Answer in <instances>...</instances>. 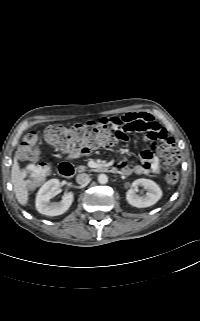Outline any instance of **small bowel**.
Here are the masks:
<instances>
[{
	"instance_id": "small-bowel-1",
	"label": "small bowel",
	"mask_w": 200,
	"mask_h": 321,
	"mask_svg": "<svg viewBox=\"0 0 200 321\" xmlns=\"http://www.w3.org/2000/svg\"><path fill=\"white\" fill-rule=\"evenodd\" d=\"M108 119H103L105 121ZM111 120L117 121L123 132V138L127 140L128 134L144 132L145 139L150 149L140 154V162L135 165H129L126 162L119 163L116 168L118 173L122 175H155L160 171V158L154 153L157 150L161 154L168 148L173 146V139L168 132L154 119V117L146 112H131L122 117H115ZM160 143L158 146L157 143ZM75 157L74 154L71 155Z\"/></svg>"
}]
</instances>
